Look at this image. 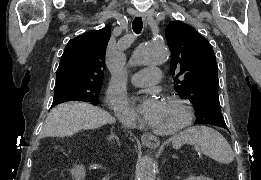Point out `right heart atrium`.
<instances>
[{"mask_svg": "<svg viewBox=\"0 0 261 180\" xmlns=\"http://www.w3.org/2000/svg\"><path fill=\"white\" fill-rule=\"evenodd\" d=\"M105 105L110 108L115 114H126L128 116V110L124 96L116 92L114 89L109 88L104 98Z\"/></svg>", "mask_w": 261, "mask_h": 180, "instance_id": "d8ad5b80", "label": "right heart atrium"}]
</instances>
